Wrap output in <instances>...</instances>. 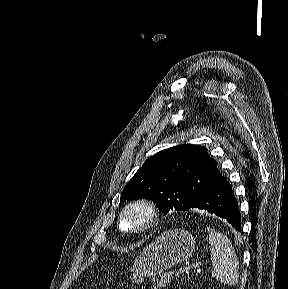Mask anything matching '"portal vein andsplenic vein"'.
Masks as SVG:
<instances>
[{
  "instance_id": "18ae733b",
  "label": "portal vein and splenic vein",
  "mask_w": 288,
  "mask_h": 289,
  "mask_svg": "<svg viewBox=\"0 0 288 289\" xmlns=\"http://www.w3.org/2000/svg\"><path fill=\"white\" fill-rule=\"evenodd\" d=\"M188 272H189V266L185 265V266L181 267V268L175 273V275L184 274V273H188ZM169 276H171V274H169Z\"/></svg>"
}]
</instances>
